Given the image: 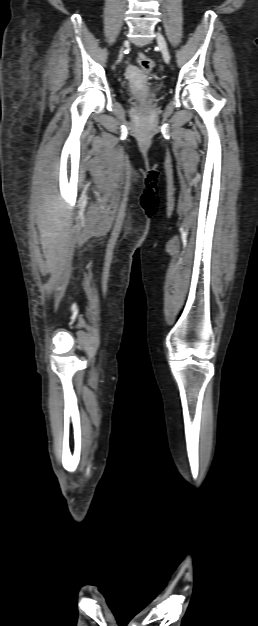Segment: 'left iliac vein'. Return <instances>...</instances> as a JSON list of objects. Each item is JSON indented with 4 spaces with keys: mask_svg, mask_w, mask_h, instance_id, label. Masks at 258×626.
<instances>
[{
    "mask_svg": "<svg viewBox=\"0 0 258 626\" xmlns=\"http://www.w3.org/2000/svg\"><path fill=\"white\" fill-rule=\"evenodd\" d=\"M157 42H158L159 48H160V50L162 52L164 61L167 64H169L170 63V54H169L168 46H167L165 38L159 32L157 33Z\"/></svg>",
    "mask_w": 258,
    "mask_h": 626,
    "instance_id": "obj_1",
    "label": "left iliac vein"
}]
</instances>
